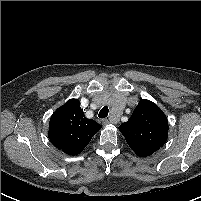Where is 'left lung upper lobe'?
<instances>
[{"label":"left lung upper lobe","mask_w":201,"mask_h":201,"mask_svg":"<svg viewBox=\"0 0 201 201\" xmlns=\"http://www.w3.org/2000/svg\"><path fill=\"white\" fill-rule=\"evenodd\" d=\"M168 120L153 102L141 99L127 122L119 126L127 144L140 157L162 147L168 137Z\"/></svg>","instance_id":"5c2ea615"}]
</instances>
